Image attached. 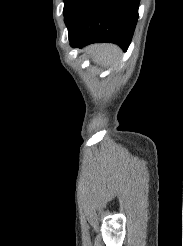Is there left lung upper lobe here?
<instances>
[{
  "instance_id": "1",
  "label": "left lung upper lobe",
  "mask_w": 183,
  "mask_h": 246,
  "mask_svg": "<svg viewBox=\"0 0 183 246\" xmlns=\"http://www.w3.org/2000/svg\"><path fill=\"white\" fill-rule=\"evenodd\" d=\"M63 1H64V10H63V13H64V16H65V14H66V12H67V10H68V8H69V6H70V4H71V2L73 0H63Z\"/></svg>"
}]
</instances>
